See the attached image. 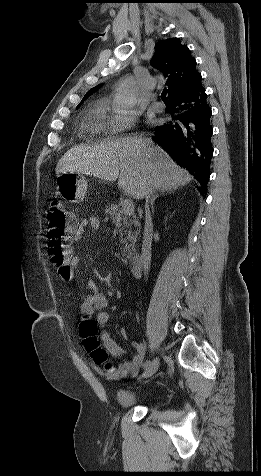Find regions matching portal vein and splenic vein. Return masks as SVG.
<instances>
[{
  "instance_id": "1",
  "label": "portal vein and splenic vein",
  "mask_w": 261,
  "mask_h": 476,
  "mask_svg": "<svg viewBox=\"0 0 261 476\" xmlns=\"http://www.w3.org/2000/svg\"><path fill=\"white\" fill-rule=\"evenodd\" d=\"M122 211L124 214H132L134 212V204L131 199H125L122 201Z\"/></svg>"
}]
</instances>
